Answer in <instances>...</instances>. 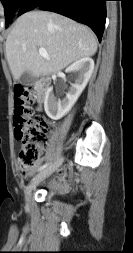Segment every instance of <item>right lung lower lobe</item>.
Listing matches in <instances>:
<instances>
[{
    "label": "right lung lower lobe",
    "instance_id": "obj_1",
    "mask_svg": "<svg viewBox=\"0 0 133 253\" xmlns=\"http://www.w3.org/2000/svg\"><path fill=\"white\" fill-rule=\"evenodd\" d=\"M107 0H25L17 15L36 7L53 11L88 25L101 41L106 21Z\"/></svg>",
    "mask_w": 133,
    "mask_h": 253
}]
</instances>
